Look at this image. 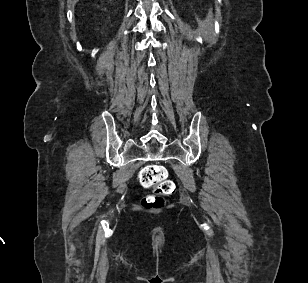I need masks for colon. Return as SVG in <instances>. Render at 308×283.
<instances>
[{"label": "colon", "instance_id": "obj_1", "mask_svg": "<svg viewBox=\"0 0 308 283\" xmlns=\"http://www.w3.org/2000/svg\"><path fill=\"white\" fill-rule=\"evenodd\" d=\"M138 180L142 187L153 189L154 194L143 200V205L147 208L161 207L164 204V197L175 190V184L168 178L167 170L160 165L144 166L138 174Z\"/></svg>", "mask_w": 308, "mask_h": 283}]
</instances>
